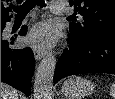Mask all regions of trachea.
I'll return each mask as SVG.
<instances>
[{
	"instance_id": "obj_1",
	"label": "trachea",
	"mask_w": 115,
	"mask_h": 99,
	"mask_svg": "<svg viewBox=\"0 0 115 99\" xmlns=\"http://www.w3.org/2000/svg\"><path fill=\"white\" fill-rule=\"evenodd\" d=\"M35 5L45 7V2L44 0H26L22 5L13 7V10L17 16H25Z\"/></svg>"
}]
</instances>
